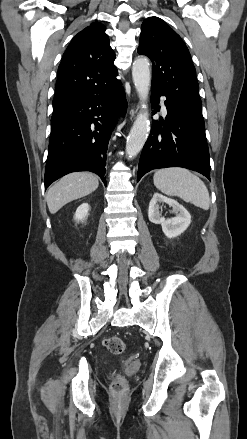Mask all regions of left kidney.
<instances>
[{
	"mask_svg": "<svg viewBox=\"0 0 247 439\" xmlns=\"http://www.w3.org/2000/svg\"><path fill=\"white\" fill-rule=\"evenodd\" d=\"M161 202H165L173 208L172 213L175 214L174 217L165 219L161 216L159 211V203ZM148 217L150 222L161 224L162 231L168 238L181 235L191 223V215L181 204L160 193H154L149 203Z\"/></svg>",
	"mask_w": 247,
	"mask_h": 439,
	"instance_id": "5707ae66",
	"label": "left kidney"
}]
</instances>
